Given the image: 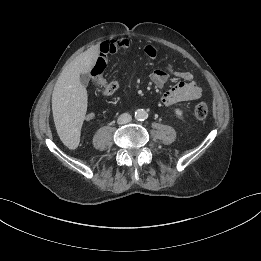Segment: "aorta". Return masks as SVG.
<instances>
[{"label": "aorta", "mask_w": 261, "mask_h": 261, "mask_svg": "<svg viewBox=\"0 0 261 261\" xmlns=\"http://www.w3.org/2000/svg\"><path fill=\"white\" fill-rule=\"evenodd\" d=\"M148 113L144 109H139L135 112V118L137 120L143 121L147 119Z\"/></svg>", "instance_id": "obj_1"}]
</instances>
